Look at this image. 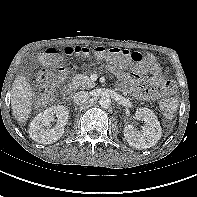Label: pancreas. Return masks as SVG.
I'll return each mask as SVG.
<instances>
[{
	"label": "pancreas",
	"mask_w": 197,
	"mask_h": 197,
	"mask_svg": "<svg viewBox=\"0 0 197 197\" xmlns=\"http://www.w3.org/2000/svg\"><path fill=\"white\" fill-rule=\"evenodd\" d=\"M70 87L77 89L81 87L82 89H89L95 87V82L91 81L90 78L84 74H77L73 78Z\"/></svg>",
	"instance_id": "obj_1"
}]
</instances>
